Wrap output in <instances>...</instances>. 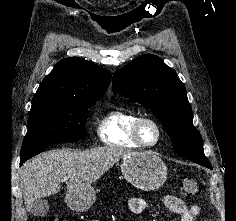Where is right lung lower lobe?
I'll use <instances>...</instances> for the list:
<instances>
[{
	"instance_id": "1",
	"label": "right lung lower lobe",
	"mask_w": 236,
	"mask_h": 221,
	"mask_svg": "<svg viewBox=\"0 0 236 221\" xmlns=\"http://www.w3.org/2000/svg\"><path fill=\"white\" fill-rule=\"evenodd\" d=\"M41 151H42V149H37V150H33V151H30L28 153L21 155L20 156V165H22L25 161H27L31 157L39 154Z\"/></svg>"
}]
</instances>
